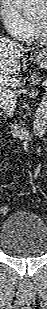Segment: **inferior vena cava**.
Instances as JSON below:
<instances>
[{"label":"inferior vena cava","mask_w":47,"mask_h":309,"mask_svg":"<svg viewBox=\"0 0 47 309\" xmlns=\"http://www.w3.org/2000/svg\"><path fill=\"white\" fill-rule=\"evenodd\" d=\"M1 105L8 115H13L16 106V96L9 89H3L1 92Z\"/></svg>","instance_id":"602c4592"}]
</instances>
